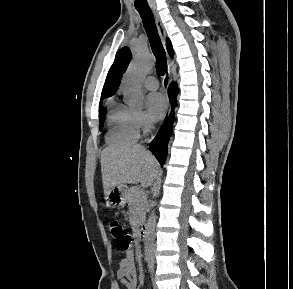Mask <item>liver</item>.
<instances>
[{"label":"liver","instance_id":"6515ba94","mask_svg":"<svg viewBox=\"0 0 293 289\" xmlns=\"http://www.w3.org/2000/svg\"><path fill=\"white\" fill-rule=\"evenodd\" d=\"M101 172L104 194L120 184L151 186L159 172V165L151 152L133 143L106 147L101 154Z\"/></svg>","mask_w":293,"mask_h":289}]
</instances>
